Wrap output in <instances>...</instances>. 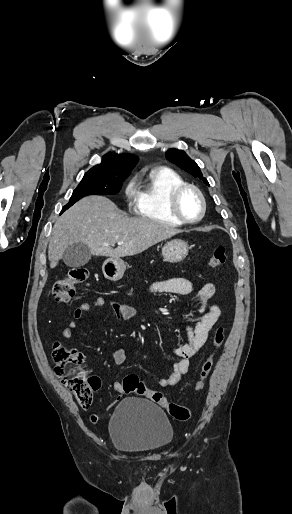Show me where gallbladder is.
<instances>
[{
	"label": "gallbladder",
	"mask_w": 292,
	"mask_h": 514,
	"mask_svg": "<svg viewBox=\"0 0 292 514\" xmlns=\"http://www.w3.org/2000/svg\"><path fill=\"white\" fill-rule=\"evenodd\" d=\"M91 256L92 254L87 244L76 242V244H71V246L65 248L62 260L70 268H81V266H85L91 260Z\"/></svg>",
	"instance_id": "bac80fb5"
}]
</instances>
